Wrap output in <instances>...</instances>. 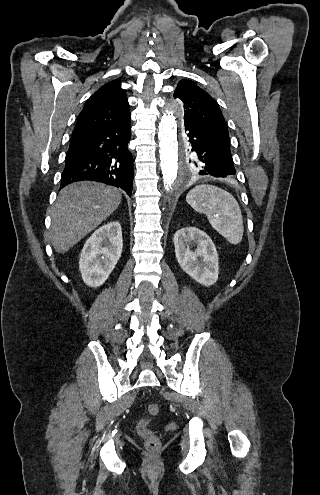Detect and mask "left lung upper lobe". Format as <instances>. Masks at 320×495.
Segmentation results:
<instances>
[{
	"label": "left lung upper lobe",
	"instance_id": "1",
	"mask_svg": "<svg viewBox=\"0 0 320 495\" xmlns=\"http://www.w3.org/2000/svg\"><path fill=\"white\" fill-rule=\"evenodd\" d=\"M174 98L183 102L184 119H191L200 124L217 140L230 146L227 125L221 110L214 99L195 83L183 79L179 81ZM184 153V169L189 177L200 175V152L190 144Z\"/></svg>",
	"mask_w": 320,
	"mask_h": 495
}]
</instances>
